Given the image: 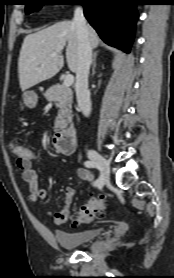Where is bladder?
<instances>
[{
	"mask_svg": "<svg viewBox=\"0 0 174 278\" xmlns=\"http://www.w3.org/2000/svg\"><path fill=\"white\" fill-rule=\"evenodd\" d=\"M101 234L100 229H87L79 232L55 231L54 238L57 244L64 249H73L87 245Z\"/></svg>",
	"mask_w": 174,
	"mask_h": 278,
	"instance_id": "obj_1",
	"label": "bladder"
}]
</instances>
